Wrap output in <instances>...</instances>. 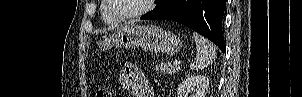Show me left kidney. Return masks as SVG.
<instances>
[{
    "instance_id": "5707ae66",
    "label": "left kidney",
    "mask_w": 302,
    "mask_h": 97,
    "mask_svg": "<svg viewBox=\"0 0 302 97\" xmlns=\"http://www.w3.org/2000/svg\"><path fill=\"white\" fill-rule=\"evenodd\" d=\"M209 79L205 75L188 76L179 86L177 97H206Z\"/></svg>"
}]
</instances>
